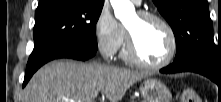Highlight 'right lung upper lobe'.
<instances>
[{"label": "right lung upper lobe", "mask_w": 221, "mask_h": 102, "mask_svg": "<svg viewBox=\"0 0 221 102\" xmlns=\"http://www.w3.org/2000/svg\"><path fill=\"white\" fill-rule=\"evenodd\" d=\"M49 1H52V0H40L38 6L43 5ZM85 1L88 3H92V4L104 3V0H85Z\"/></svg>", "instance_id": "right-lung-upper-lobe-1"}]
</instances>
